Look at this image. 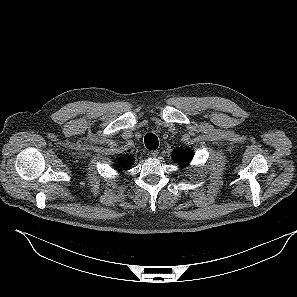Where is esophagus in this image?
<instances>
[{
  "mask_svg": "<svg viewBox=\"0 0 297 297\" xmlns=\"http://www.w3.org/2000/svg\"><path fill=\"white\" fill-rule=\"evenodd\" d=\"M150 154H151L152 157H157L158 154H159V151L158 150H153V151L150 152Z\"/></svg>",
  "mask_w": 297,
  "mask_h": 297,
  "instance_id": "obj_1",
  "label": "esophagus"
}]
</instances>
